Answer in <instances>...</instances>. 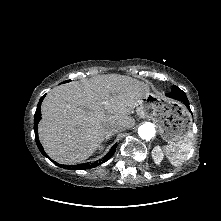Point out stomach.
<instances>
[{
	"label": "stomach",
	"mask_w": 221,
	"mask_h": 221,
	"mask_svg": "<svg viewBox=\"0 0 221 221\" xmlns=\"http://www.w3.org/2000/svg\"><path fill=\"white\" fill-rule=\"evenodd\" d=\"M141 118L152 119L158 126L163 140L173 143L182 140L192 126L189 112L180 103L148 92L136 103Z\"/></svg>",
	"instance_id": "stomach-1"
}]
</instances>
